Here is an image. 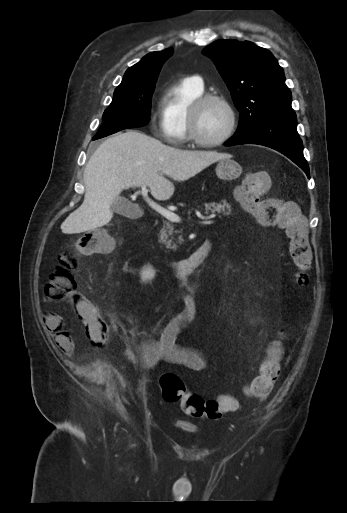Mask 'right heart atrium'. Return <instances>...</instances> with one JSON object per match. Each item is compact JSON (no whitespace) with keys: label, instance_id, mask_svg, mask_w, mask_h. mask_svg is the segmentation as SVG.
<instances>
[{"label":"right heart atrium","instance_id":"right-heart-atrium-1","mask_svg":"<svg viewBox=\"0 0 347 513\" xmlns=\"http://www.w3.org/2000/svg\"><path fill=\"white\" fill-rule=\"evenodd\" d=\"M158 129H159L160 133H161L164 137H166V135H165L164 123H163L162 119L160 120V122H159V124H158Z\"/></svg>","mask_w":347,"mask_h":513}]
</instances>
